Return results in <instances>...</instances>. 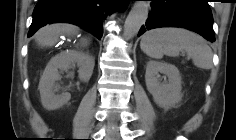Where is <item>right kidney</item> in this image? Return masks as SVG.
Listing matches in <instances>:
<instances>
[{"label": "right kidney", "mask_w": 236, "mask_h": 140, "mask_svg": "<svg viewBox=\"0 0 236 140\" xmlns=\"http://www.w3.org/2000/svg\"><path fill=\"white\" fill-rule=\"evenodd\" d=\"M76 64L79 67V79L83 82H88L95 64L92 56L82 52L71 51L69 53H61L50 60L38 86L41 103L45 109H58L70 100L71 95L68 92L55 94L58 87L56 83L61 79L60 73L62 71L68 70Z\"/></svg>", "instance_id": "obj_1"}]
</instances>
